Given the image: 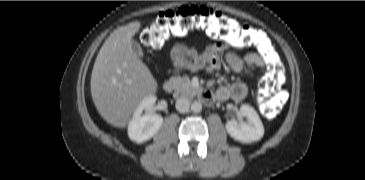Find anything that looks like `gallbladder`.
<instances>
[{
	"instance_id": "1",
	"label": "gallbladder",
	"mask_w": 365,
	"mask_h": 180,
	"mask_svg": "<svg viewBox=\"0 0 365 180\" xmlns=\"http://www.w3.org/2000/svg\"><path fill=\"white\" fill-rule=\"evenodd\" d=\"M131 48H132L133 52L138 57H143L144 56L143 50H142L140 44L137 41L132 40V42H131Z\"/></svg>"
}]
</instances>
